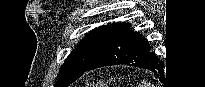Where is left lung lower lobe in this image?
<instances>
[{
    "label": "left lung lower lobe",
    "instance_id": "obj_1",
    "mask_svg": "<svg viewBox=\"0 0 205 87\" xmlns=\"http://www.w3.org/2000/svg\"><path fill=\"white\" fill-rule=\"evenodd\" d=\"M150 50L149 43L142 35L130 30L128 23H120L86 71L104 66L127 64L148 69L162 76L163 64Z\"/></svg>",
    "mask_w": 205,
    "mask_h": 87
}]
</instances>
